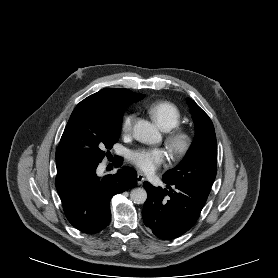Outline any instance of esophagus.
Instances as JSON below:
<instances>
[{
  "label": "esophagus",
  "mask_w": 278,
  "mask_h": 278,
  "mask_svg": "<svg viewBox=\"0 0 278 278\" xmlns=\"http://www.w3.org/2000/svg\"><path fill=\"white\" fill-rule=\"evenodd\" d=\"M144 180H145L144 175L141 172H139L137 175V184L141 185L144 182Z\"/></svg>",
  "instance_id": "obj_1"
}]
</instances>
